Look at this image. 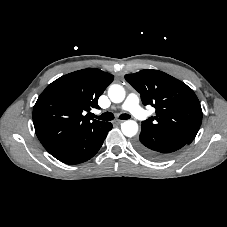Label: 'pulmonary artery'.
Listing matches in <instances>:
<instances>
[{
    "label": "pulmonary artery",
    "mask_w": 227,
    "mask_h": 227,
    "mask_svg": "<svg viewBox=\"0 0 227 227\" xmlns=\"http://www.w3.org/2000/svg\"><path fill=\"white\" fill-rule=\"evenodd\" d=\"M122 110L129 111L134 117L145 120L147 114L139 105V98L135 93H130L121 106Z\"/></svg>",
    "instance_id": "1"
}]
</instances>
